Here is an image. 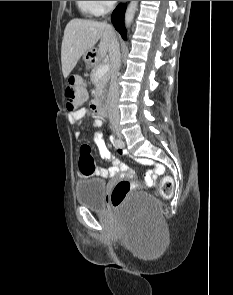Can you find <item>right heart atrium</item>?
I'll use <instances>...</instances> for the list:
<instances>
[{
    "label": "right heart atrium",
    "mask_w": 233,
    "mask_h": 295,
    "mask_svg": "<svg viewBox=\"0 0 233 295\" xmlns=\"http://www.w3.org/2000/svg\"><path fill=\"white\" fill-rule=\"evenodd\" d=\"M94 2L100 13L104 12L113 3V1H94Z\"/></svg>",
    "instance_id": "1"
}]
</instances>
